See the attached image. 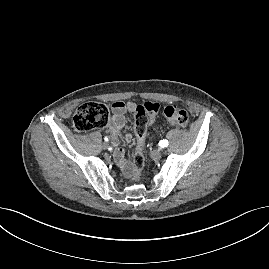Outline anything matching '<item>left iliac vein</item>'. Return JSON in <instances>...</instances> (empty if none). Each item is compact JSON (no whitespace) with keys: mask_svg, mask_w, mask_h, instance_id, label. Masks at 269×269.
Returning <instances> with one entry per match:
<instances>
[{"mask_svg":"<svg viewBox=\"0 0 269 269\" xmlns=\"http://www.w3.org/2000/svg\"><path fill=\"white\" fill-rule=\"evenodd\" d=\"M146 154L149 155L151 159L160 160L162 156V152H157L156 150H152L150 148L146 149Z\"/></svg>","mask_w":269,"mask_h":269,"instance_id":"obj_1","label":"left iliac vein"}]
</instances>
